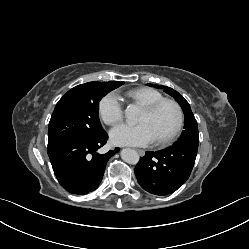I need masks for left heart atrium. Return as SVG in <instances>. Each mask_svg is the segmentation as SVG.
<instances>
[{"mask_svg":"<svg viewBox=\"0 0 249 249\" xmlns=\"http://www.w3.org/2000/svg\"><path fill=\"white\" fill-rule=\"evenodd\" d=\"M110 138L116 145L129 146H145L156 140L150 126L146 123L118 125L111 130Z\"/></svg>","mask_w":249,"mask_h":249,"instance_id":"left-heart-atrium-1","label":"left heart atrium"}]
</instances>
